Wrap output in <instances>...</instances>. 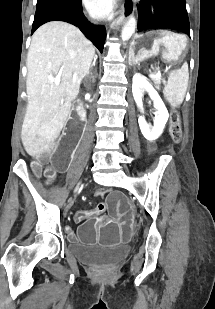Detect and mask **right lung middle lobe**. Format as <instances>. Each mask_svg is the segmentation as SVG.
I'll list each match as a JSON object with an SVG mask.
<instances>
[{
	"label": "right lung middle lobe",
	"mask_w": 215,
	"mask_h": 309,
	"mask_svg": "<svg viewBox=\"0 0 215 309\" xmlns=\"http://www.w3.org/2000/svg\"><path fill=\"white\" fill-rule=\"evenodd\" d=\"M82 8L79 0H37L35 16L51 11H76Z\"/></svg>",
	"instance_id": "dd1d6c3e"
}]
</instances>
